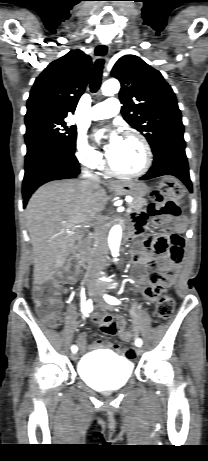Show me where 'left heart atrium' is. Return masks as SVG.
I'll use <instances>...</instances> for the list:
<instances>
[{"label": "left heart atrium", "instance_id": "1", "mask_svg": "<svg viewBox=\"0 0 208 461\" xmlns=\"http://www.w3.org/2000/svg\"><path fill=\"white\" fill-rule=\"evenodd\" d=\"M102 132L98 133V136H100ZM121 137H119L116 133H112L109 139V144H108V152L112 150L120 141Z\"/></svg>", "mask_w": 208, "mask_h": 461}]
</instances>
